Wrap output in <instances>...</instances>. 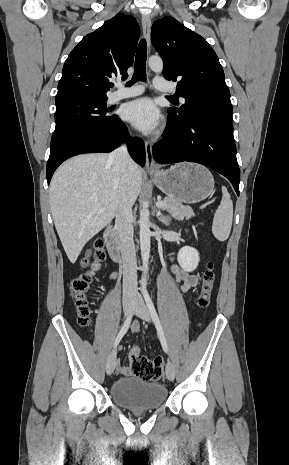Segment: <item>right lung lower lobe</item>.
I'll return each instance as SVG.
<instances>
[{
	"instance_id": "98d812e1",
	"label": "right lung lower lobe",
	"mask_w": 289,
	"mask_h": 465,
	"mask_svg": "<svg viewBox=\"0 0 289 465\" xmlns=\"http://www.w3.org/2000/svg\"><path fill=\"white\" fill-rule=\"evenodd\" d=\"M128 142V151L139 165L145 164V148L138 139H129L126 125L116 116L105 127L78 132L65 141L51 147L47 163L48 185L56 168L66 159L84 153L111 152L121 143Z\"/></svg>"
}]
</instances>
